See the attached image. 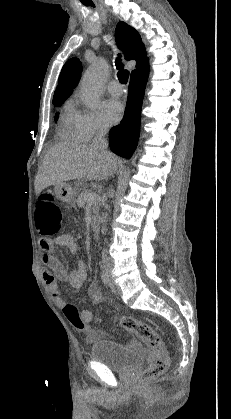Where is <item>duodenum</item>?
<instances>
[{
  "mask_svg": "<svg viewBox=\"0 0 231 419\" xmlns=\"http://www.w3.org/2000/svg\"><path fill=\"white\" fill-rule=\"evenodd\" d=\"M91 227H92V232H93V234H94L95 236H98V235H99V233H100V229H101V224H100V221H99V219H98V218H94V219L92 220V225H91Z\"/></svg>",
  "mask_w": 231,
  "mask_h": 419,
  "instance_id": "410a0bca",
  "label": "duodenum"
}]
</instances>
